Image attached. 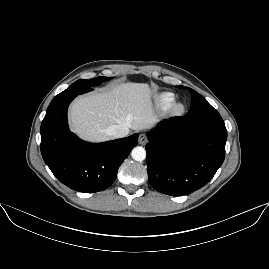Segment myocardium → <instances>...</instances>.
I'll use <instances>...</instances> for the list:
<instances>
[{
	"label": "myocardium",
	"instance_id": "f54148a6",
	"mask_svg": "<svg viewBox=\"0 0 269 269\" xmlns=\"http://www.w3.org/2000/svg\"><path fill=\"white\" fill-rule=\"evenodd\" d=\"M182 110H183V106H182L181 104H177V105H175V107H174V111H175L176 113H180V112H182Z\"/></svg>",
	"mask_w": 269,
	"mask_h": 269
}]
</instances>
